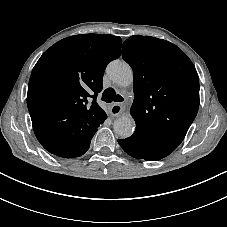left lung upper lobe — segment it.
I'll return each instance as SVG.
<instances>
[{
	"mask_svg": "<svg viewBox=\"0 0 227 227\" xmlns=\"http://www.w3.org/2000/svg\"><path fill=\"white\" fill-rule=\"evenodd\" d=\"M122 57L134 74V134L174 151L199 108V79L193 63L176 45L141 35L124 42Z\"/></svg>",
	"mask_w": 227,
	"mask_h": 227,
	"instance_id": "5c2ea615",
	"label": "left lung upper lobe"
}]
</instances>
